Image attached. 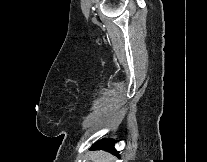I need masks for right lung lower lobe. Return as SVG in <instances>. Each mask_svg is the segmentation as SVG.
Here are the masks:
<instances>
[{"label": "right lung lower lobe", "instance_id": "obj_1", "mask_svg": "<svg viewBox=\"0 0 207 162\" xmlns=\"http://www.w3.org/2000/svg\"><path fill=\"white\" fill-rule=\"evenodd\" d=\"M102 147L109 150H114V141L113 140H102L94 145V148Z\"/></svg>", "mask_w": 207, "mask_h": 162}]
</instances>
